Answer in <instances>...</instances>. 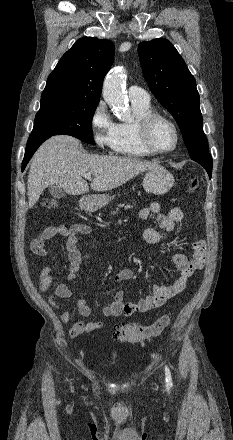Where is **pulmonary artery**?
I'll return each mask as SVG.
<instances>
[{
	"label": "pulmonary artery",
	"mask_w": 233,
	"mask_h": 440,
	"mask_svg": "<svg viewBox=\"0 0 233 440\" xmlns=\"http://www.w3.org/2000/svg\"><path fill=\"white\" fill-rule=\"evenodd\" d=\"M131 102L148 104L150 103L149 94L139 86H131L128 91Z\"/></svg>",
	"instance_id": "obj_1"
}]
</instances>
